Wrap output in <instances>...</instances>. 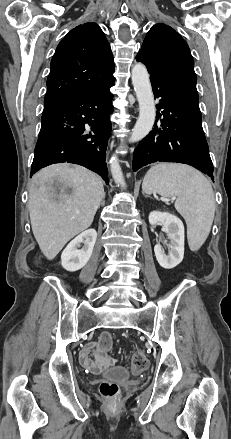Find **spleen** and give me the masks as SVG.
I'll return each mask as SVG.
<instances>
[{"instance_id":"3e777b00","label":"spleen","mask_w":231,"mask_h":439,"mask_svg":"<svg viewBox=\"0 0 231 439\" xmlns=\"http://www.w3.org/2000/svg\"><path fill=\"white\" fill-rule=\"evenodd\" d=\"M142 189L146 194L176 197L175 208L187 224L189 247L198 250L209 235L215 214L209 180L187 165L160 163L146 173Z\"/></svg>"}]
</instances>
